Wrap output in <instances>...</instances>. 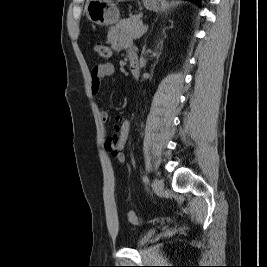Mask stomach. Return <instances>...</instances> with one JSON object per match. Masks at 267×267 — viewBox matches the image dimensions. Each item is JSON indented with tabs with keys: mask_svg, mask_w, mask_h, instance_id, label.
<instances>
[{
	"mask_svg": "<svg viewBox=\"0 0 267 267\" xmlns=\"http://www.w3.org/2000/svg\"><path fill=\"white\" fill-rule=\"evenodd\" d=\"M144 7L151 11L160 8V0H142ZM87 18L99 26H109L119 20V10L111 0H89L85 7Z\"/></svg>",
	"mask_w": 267,
	"mask_h": 267,
	"instance_id": "1",
	"label": "stomach"
}]
</instances>
